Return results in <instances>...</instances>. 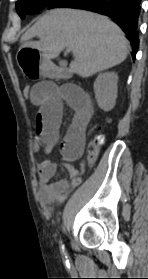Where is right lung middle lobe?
I'll return each mask as SVG.
<instances>
[{"mask_svg":"<svg viewBox=\"0 0 148 279\" xmlns=\"http://www.w3.org/2000/svg\"><path fill=\"white\" fill-rule=\"evenodd\" d=\"M56 0H19L16 9L21 18L26 14H35Z\"/></svg>","mask_w":148,"mask_h":279,"instance_id":"dd1d6c3e","label":"right lung middle lobe"}]
</instances>
